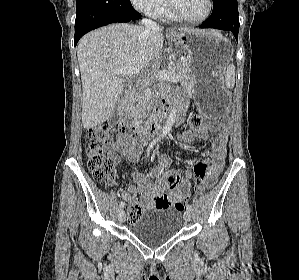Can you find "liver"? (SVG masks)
Instances as JSON below:
<instances>
[{
    "label": "liver",
    "mask_w": 299,
    "mask_h": 280,
    "mask_svg": "<svg viewBox=\"0 0 299 280\" xmlns=\"http://www.w3.org/2000/svg\"><path fill=\"white\" fill-rule=\"evenodd\" d=\"M180 32L196 31L179 28ZM163 47L161 28L149 32L125 23L86 34L78 43L82 81V124L86 129L105 122L124 89L126 80L114 71L132 66L146 71Z\"/></svg>",
    "instance_id": "6515ba94"
}]
</instances>
